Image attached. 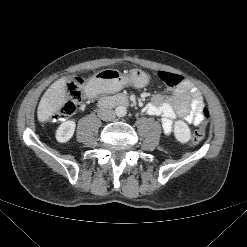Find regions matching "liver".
Returning a JSON list of instances; mask_svg holds the SVG:
<instances>
[{
    "instance_id": "obj_1",
    "label": "liver",
    "mask_w": 247,
    "mask_h": 247,
    "mask_svg": "<svg viewBox=\"0 0 247 247\" xmlns=\"http://www.w3.org/2000/svg\"><path fill=\"white\" fill-rule=\"evenodd\" d=\"M66 78L55 81L42 96L37 110L39 122L49 120L59 111L66 101Z\"/></svg>"
}]
</instances>
